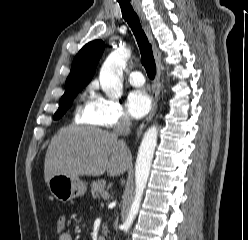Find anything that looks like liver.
I'll list each match as a JSON object with an SVG mask.
<instances>
[{
    "label": "liver",
    "mask_w": 248,
    "mask_h": 240,
    "mask_svg": "<svg viewBox=\"0 0 248 240\" xmlns=\"http://www.w3.org/2000/svg\"><path fill=\"white\" fill-rule=\"evenodd\" d=\"M132 156L116 133L95 127L70 125L58 131L47 149L44 165L45 182L57 174L70 177H110L125 173Z\"/></svg>",
    "instance_id": "liver-1"
}]
</instances>
